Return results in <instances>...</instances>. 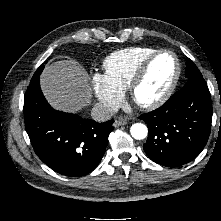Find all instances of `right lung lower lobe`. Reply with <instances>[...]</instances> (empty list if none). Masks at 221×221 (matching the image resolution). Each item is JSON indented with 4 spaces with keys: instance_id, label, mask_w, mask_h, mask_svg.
Segmentation results:
<instances>
[{
    "instance_id": "right-lung-lower-lobe-1",
    "label": "right lung lower lobe",
    "mask_w": 221,
    "mask_h": 221,
    "mask_svg": "<svg viewBox=\"0 0 221 221\" xmlns=\"http://www.w3.org/2000/svg\"><path fill=\"white\" fill-rule=\"evenodd\" d=\"M39 76L34 74L24 97L25 127L34 151L62 175H86L101 161L114 120L97 123L53 110L42 94Z\"/></svg>"
}]
</instances>
